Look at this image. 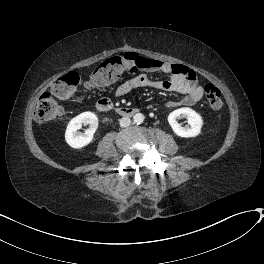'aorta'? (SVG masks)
<instances>
[{"label":"aorta","instance_id":"obj_1","mask_svg":"<svg viewBox=\"0 0 264 264\" xmlns=\"http://www.w3.org/2000/svg\"><path fill=\"white\" fill-rule=\"evenodd\" d=\"M133 120L135 123L137 124H140L144 121V115L141 114V113H136L134 116H133Z\"/></svg>","mask_w":264,"mask_h":264}]
</instances>
